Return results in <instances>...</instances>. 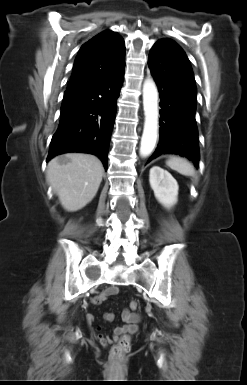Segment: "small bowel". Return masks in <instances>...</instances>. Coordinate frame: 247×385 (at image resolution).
<instances>
[{
  "label": "small bowel",
  "instance_id": "obj_1",
  "mask_svg": "<svg viewBox=\"0 0 247 385\" xmlns=\"http://www.w3.org/2000/svg\"><path fill=\"white\" fill-rule=\"evenodd\" d=\"M118 292H119V289L117 287H114V286L109 287L105 289L100 295L93 297L91 299V303L93 305H100L107 298L117 294ZM103 318L108 322H112L115 319V315L112 312H106L104 313ZM122 319L124 321V325L115 327L111 335H104L101 333L100 328H97L96 338L101 345L107 346L108 344L116 342L118 338L123 334L132 335L137 332L138 330L137 323L140 319V316L138 314L131 313L128 310H124L122 312ZM87 321L89 324H91L94 321L93 316H89L87 318Z\"/></svg>",
  "mask_w": 247,
  "mask_h": 385
}]
</instances>
